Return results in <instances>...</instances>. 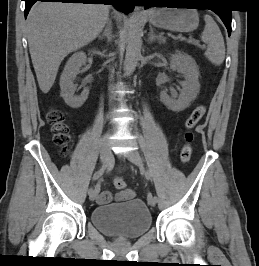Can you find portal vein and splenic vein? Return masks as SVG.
<instances>
[{
	"instance_id": "1",
	"label": "portal vein and splenic vein",
	"mask_w": 259,
	"mask_h": 266,
	"mask_svg": "<svg viewBox=\"0 0 259 266\" xmlns=\"http://www.w3.org/2000/svg\"><path fill=\"white\" fill-rule=\"evenodd\" d=\"M181 40H186L185 38H181ZM189 43H193V44H195V45H198L199 47H201V48H205V45H199L198 43H196L195 41H193V40H187Z\"/></svg>"
}]
</instances>
